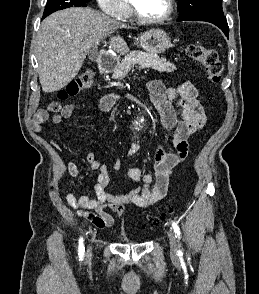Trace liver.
<instances>
[{"mask_svg": "<svg viewBox=\"0 0 259 294\" xmlns=\"http://www.w3.org/2000/svg\"><path fill=\"white\" fill-rule=\"evenodd\" d=\"M125 27L91 8L72 7L45 18L35 41L42 90L49 93L68 85L80 71L89 50ZM110 48L120 54L129 51L119 35L110 38Z\"/></svg>", "mask_w": 259, "mask_h": 294, "instance_id": "1", "label": "liver"}]
</instances>
